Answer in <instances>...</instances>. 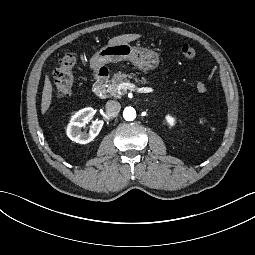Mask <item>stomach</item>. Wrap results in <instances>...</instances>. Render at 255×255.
Segmentation results:
<instances>
[{
    "instance_id": "obj_1",
    "label": "stomach",
    "mask_w": 255,
    "mask_h": 255,
    "mask_svg": "<svg viewBox=\"0 0 255 255\" xmlns=\"http://www.w3.org/2000/svg\"><path fill=\"white\" fill-rule=\"evenodd\" d=\"M123 59L131 60L143 71L154 70L159 66L160 57L157 53L146 48L131 47L128 43L106 46L97 51L90 59V69L97 73L108 62Z\"/></svg>"
}]
</instances>
